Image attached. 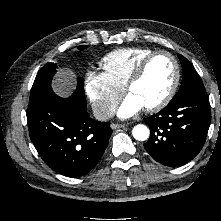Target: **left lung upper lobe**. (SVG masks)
I'll return each mask as SVG.
<instances>
[{"label":"left lung upper lobe","instance_id":"left-lung-upper-lobe-1","mask_svg":"<svg viewBox=\"0 0 221 221\" xmlns=\"http://www.w3.org/2000/svg\"><path fill=\"white\" fill-rule=\"evenodd\" d=\"M182 65L183 79L178 93L173 97L172 101H176L186 95L206 93L201 78L197 74L192 64L182 55H178Z\"/></svg>","mask_w":221,"mask_h":221}]
</instances>
